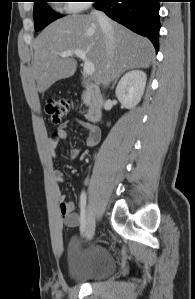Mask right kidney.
<instances>
[{
	"mask_svg": "<svg viewBox=\"0 0 195 299\" xmlns=\"http://www.w3.org/2000/svg\"><path fill=\"white\" fill-rule=\"evenodd\" d=\"M147 76L143 71L131 70L126 73L116 87V97L127 109H133L141 101Z\"/></svg>",
	"mask_w": 195,
	"mask_h": 299,
	"instance_id": "1",
	"label": "right kidney"
}]
</instances>
